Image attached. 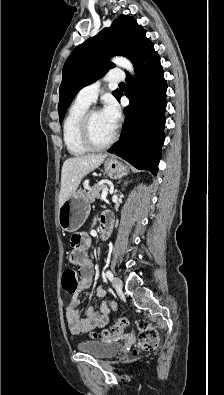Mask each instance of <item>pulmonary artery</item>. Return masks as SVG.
<instances>
[{
  "label": "pulmonary artery",
  "instance_id": "e3ab8cb5",
  "mask_svg": "<svg viewBox=\"0 0 224 395\" xmlns=\"http://www.w3.org/2000/svg\"><path fill=\"white\" fill-rule=\"evenodd\" d=\"M106 79L110 82H119L125 79V72L121 69L110 70ZM101 82L97 81L82 88L77 94V99L87 104L93 103L100 92Z\"/></svg>",
  "mask_w": 224,
  "mask_h": 395
}]
</instances>
